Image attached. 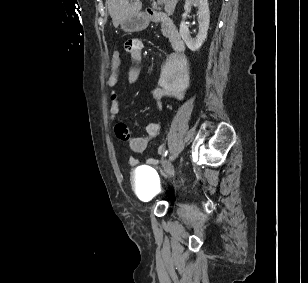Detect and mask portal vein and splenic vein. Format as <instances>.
Returning <instances> with one entry per match:
<instances>
[{"instance_id":"18ae733b","label":"portal vein and splenic vein","mask_w":308,"mask_h":283,"mask_svg":"<svg viewBox=\"0 0 308 283\" xmlns=\"http://www.w3.org/2000/svg\"><path fill=\"white\" fill-rule=\"evenodd\" d=\"M162 1L161 0H157V2H154V4H161Z\"/></svg>"}]
</instances>
